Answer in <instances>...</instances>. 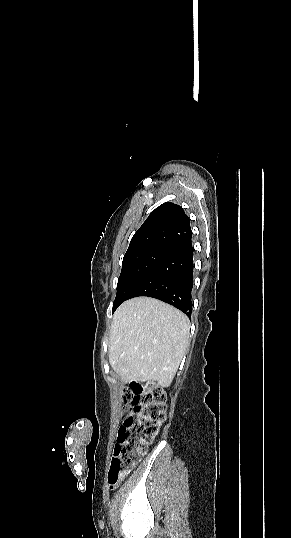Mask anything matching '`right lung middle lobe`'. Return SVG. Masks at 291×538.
<instances>
[{"label":"right lung middle lobe","mask_w":291,"mask_h":538,"mask_svg":"<svg viewBox=\"0 0 291 538\" xmlns=\"http://www.w3.org/2000/svg\"><path fill=\"white\" fill-rule=\"evenodd\" d=\"M170 251V248L152 246L127 252L124 255L112 313L129 298L139 282Z\"/></svg>","instance_id":"1"}]
</instances>
